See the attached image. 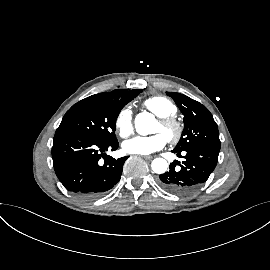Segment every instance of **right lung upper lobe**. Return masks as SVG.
Masks as SVG:
<instances>
[{
	"instance_id": "right-lung-upper-lobe-1",
	"label": "right lung upper lobe",
	"mask_w": 270,
	"mask_h": 270,
	"mask_svg": "<svg viewBox=\"0 0 270 270\" xmlns=\"http://www.w3.org/2000/svg\"><path fill=\"white\" fill-rule=\"evenodd\" d=\"M138 91L139 89H136V90L116 89V90H113L112 92L99 93L97 95L117 98L121 101H126L132 98L133 96L137 95Z\"/></svg>"
}]
</instances>
